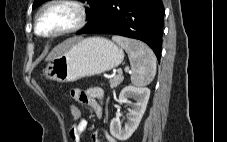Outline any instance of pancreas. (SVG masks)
Returning a JSON list of instances; mask_svg holds the SVG:
<instances>
[{
    "label": "pancreas",
    "mask_w": 227,
    "mask_h": 142,
    "mask_svg": "<svg viewBox=\"0 0 227 142\" xmlns=\"http://www.w3.org/2000/svg\"><path fill=\"white\" fill-rule=\"evenodd\" d=\"M124 77L122 74L116 75L114 78L109 80L110 86L111 87H117L122 81Z\"/></svg>",
    "instance_id": "obj_1"
}]
</instances>
